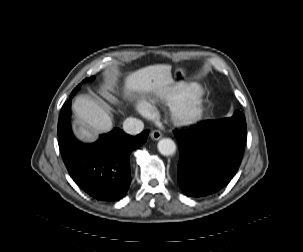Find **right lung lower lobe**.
Segmentation results:
<instances>
[{
  "instance_id": "98d812e1",
  "label": "right lung lower lobe",
  "mask_w": 303,
  "mask_h": 252,
  "mask_svg": "<svg viewBox=\"0 0 303 252\" xmlns=\"http://www.w3.org/2000/svg\"><path fill=\"white\" fill-rule=\"evenodd\" d=\"M64 103L58 121V143L74 181L90 196L102 201L122 198L131 183L130 153L143 145L149 130L133 137L118 128L92 144L78 141L71 130V99Z\"/></svg>"
}]
</instances>
